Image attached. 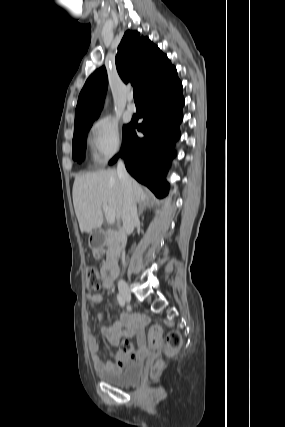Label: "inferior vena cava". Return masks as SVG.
Returning a JSON list of instances; mask_svg holds the SVG:
<instances>
[{
  "label": "inferior vena cava",
  "instance_id": "obj_1",
  "mask_svg": "<svg viewBox=\"0 0 285 427\" xmlns=\"http://www.w3.org/2000/svg\"><path fill=\"white\" fill-rule=\"evenodd\" d=\"M117 175L124 197L122 214L123 228L127 233H131L133 232L135 225L139 222V219L131 178L125 168L124 162L121 159L117 163Z\"/></svg>",
  "mask_w": 285,
  "mask_h": 427
}]
</instances>
